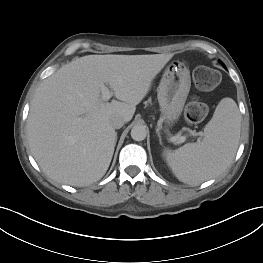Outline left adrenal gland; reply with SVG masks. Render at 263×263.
I'll return each instance as SVG.
<instances>
[{
  "instance_id": "obj_1",
  "label": "left adrenal gland",
  "mask_w": 263,
  "mask_h": 263,
  "mask_svg": "<svg viewBox=\"0 0 263 263\" xmlns=\"http://www.w3.org/2000/svg\"><path fill=\"white\" fill-rule=\"evenodd\" d=\"M156 133H157V136H158V138H159L160 144H162L161 135H160V132H159L158 129H156Z\"/></svg>"
}]
</instances>
